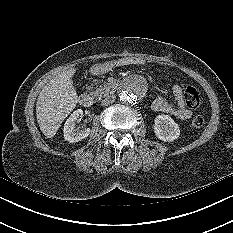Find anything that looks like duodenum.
Here are the masks:
<instances>
[{"instance_id":"410a0bca","label":"duodenum","mask_w":233,"mask_h":233,"mask_svg":"<svg viewBox=\"0 0 233 233\" xmlns=\"http://www.w3.org/2000/svg\"><path fill=\"white\" fill-rule=\"evenodd\" d=\"M120 90L119 84L104 85L101 88H96L90 95L87 93L79 96V104L83 107H90L92 103L100 101L106 97L107 94L115 93Z\"/></svg>"}]
</instances>
